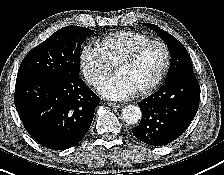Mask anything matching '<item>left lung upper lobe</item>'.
<instances>
[{
    "mask_svg": "<svg viewBox=\"0 0 224 175\" xmlns=\"http://www.w3.org/2000/svg\"><path fill=\"white\" fill-rule=\"evenodd\" d=\"M144 25L153 29L165 41L169 48L171 64L167 77L180 71L193 70L192 61L187 50L177 39L153 24L144 23Z\"/></svg>",
    "mask_w": 224,
    "mask_h": 175,
    "instance_id": "obj_1",
    "label": "left lung upper lobe"
}]
</instances>
